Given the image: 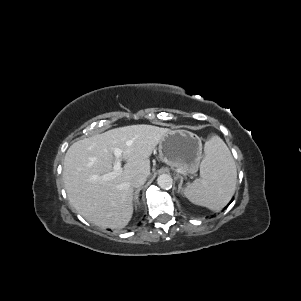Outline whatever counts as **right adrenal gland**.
<instances>
[{
	"label": "right adrenal gland",
	"mask_w": 301,
	"mask_h": 301,
	"mask_svg": "<svg viewBox=\"0 0 301 301\" xmlns=\"http://www.w3.org/2000/svg\"><path fill=\"white\" fill-rule=\"evenodd\" d=\"M142 188H138L137 190H135L134 192V197H133V201L135 204V208L137 209V206L139 205V193L141 191Z\"/></svg>",
	"instance_id": "obj_1"
}]
</instances>
